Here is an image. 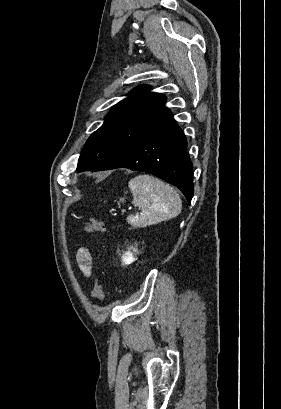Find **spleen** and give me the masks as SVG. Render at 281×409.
I'll use <instances>...</instances> for the list:
<instances>
[{
	"label": "spleen",
	"mask_w": 281,
	"mask_h": 409,
	"mask_svg": "<svg viewBox=\"0 0 281 409\" xmlns=\"http://www.w3.org/2000/svg\"><path fill=\"white\" fill-rule=\"evenodd\" d=\"M129 188L133 194L134 207H139L141 211L137 217H127V223L132 227L157 225L178 217L182 211L180 194L155 176L139 174L129 180Z\"/></svg>",
	"instance_id": "3e777b00"
}]
</instances>
